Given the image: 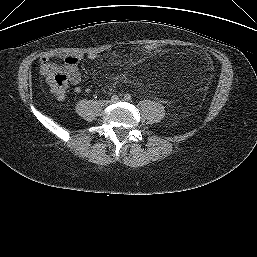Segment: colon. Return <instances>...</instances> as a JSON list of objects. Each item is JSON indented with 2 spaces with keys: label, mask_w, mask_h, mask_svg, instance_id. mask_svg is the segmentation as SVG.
<instances>
[{
  "label": "colon",
  "mask_w": 257,
  "mask_h": 257,
  "mask_svg": "<svg viewBox=\"0 0 257 257\" xmlns=\"http://www.w3.org/2000/svg\"><path fill=\"white\" fill-rule=\"evenodd\" d=\"M159 46L155 44H147L145 45V50L149 53H154L159 51ZM43 76L46 78L47 83L51 89V91L59 96L62 97L65 95L68 87V77L66 73L62 70L47 66L42 71Z\"/></svg>",
  "instance_id": "1"
}]
</instances>
